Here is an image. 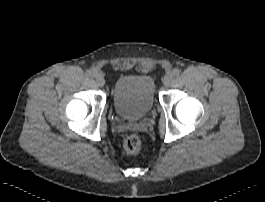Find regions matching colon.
I'll return each instance as SVG.
<instances>
[{"mask_svg":"<svg viewBox=\"0 0 265 202\" xmlns=\"http://www.w3.org/2000/svg\"><path fill=\"white\" fill-rule=\"evenodd\" d=\"M141 145V138L137 134L128 135L123 143L125 151L131 155L137 154L141 149Z\"/></svg>","mask_w":265,"mask_h":202,"instance_id":"5ec220e1","label":"colon"}]
</instances>
